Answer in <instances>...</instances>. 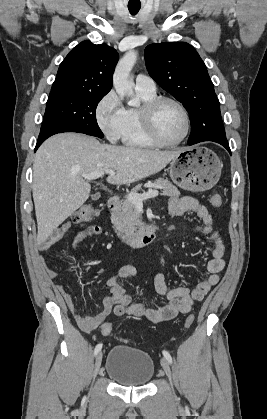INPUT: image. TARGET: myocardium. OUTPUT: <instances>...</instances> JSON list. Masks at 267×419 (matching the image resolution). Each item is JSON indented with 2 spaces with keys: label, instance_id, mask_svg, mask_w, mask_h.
<instances>
[{
  "label": "myocardium",
  "instance_id": "myocardium-1",
  "mask_svg": "<svg viewBox=\"0 0 267 419\" xmlns=\"http://www.w3.org/2000/svg\"><path fill=\"white\" fill-rule=\"evenodd\" d=\"M172 103L176 105L183 114L185 128L182 136L176 141H165L163 140L157 132L156 125H155V116L158 108L163 103ZM141 119L144 130L147 136L150 138L152 142H154L157 146L162 147H173L181 144L188 136L190 131V116L189 112L186 107L181 103L179 100L168 97V96H157L154 99L146 102L143 104L141 108Z\"/></svg>",
  "mask_w": 267,
  "mask_h": 419
}]
</instances>
